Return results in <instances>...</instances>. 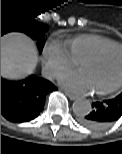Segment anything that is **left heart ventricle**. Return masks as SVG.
<instances>
[{
    "label": "left heart ventricle",
    "instance_id": "1",
    "mask_svg": "<svg viewBox=\"0 0 122 154\" xmlns=\"http://www.w3.org/2000/svg\"><path fill=\"white\" fill-rule=\"evenodd\" d=\"M91 91H98L114 84L122 76V50L115 49L97 60L81 64Z\"/></svg>",
    "mask_w": 122,
    "mask_h": 154
}]
</instances>
